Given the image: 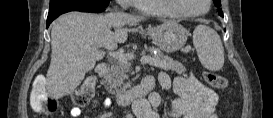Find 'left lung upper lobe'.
I'll return each mask as SVG.
<instances>
[{
  "label": "left lung upper lobe",
  "mask_w": 273,
  "mask_h": 118,
  "mask_svg": "<svg viewBox=\"0 0 273 118\" xmlns=\"http://www.w3.org/2000/svg\"><path fill=\"white\" fill-rule=\"evenodd\" d=\"M215 6L218 8V15L223 17V13H222V10H221V1L220 0H213Z\"/></svg>",
  "instance_id": "left-lung-upper-lobe-1"
}]
</instances>
